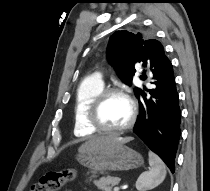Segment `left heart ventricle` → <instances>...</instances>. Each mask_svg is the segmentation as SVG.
Instances as JSON below:
<instances>
[{
	"mask_svg": "<svg viewBox=\"0 0 210 191\" xmlns=\"http://www.w3.org/2000/svg\"><path fill=\"white\" fill-rule=\"evenodd\" d=\"M129 102L121 95H111L103 103L100 119L108 128H118L125 125L130 118Z\"/></svg>",
	"mask_w": 210,
	"mask_h": 191,
	"instance_id": "b2bd125f",
	"label": "left heart ventricle"
}]
</instances>
